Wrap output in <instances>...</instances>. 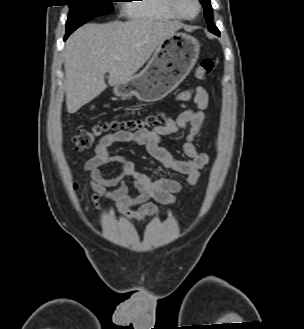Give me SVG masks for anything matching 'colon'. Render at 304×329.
I'll use <instances>...</instances> for the list:
<instances>
[{
  "label": "colon",
  "mask_w": 304,
  "mask_h": 329,
  "mask_svg": "<svg viewBox=\"0 0 304 329\" xmlns=\"http://www.w3.org/2000/svg\"><path fill=\"white\" fill-rule=\"evenodd\" d=\"M214 61L210 58L202 59L195 70L197 79H204L211 74L214 69ZM167 121V115L164 113L149 114L144 117L135 118L126 122H100L93 125L90 129L79 130L73 136V143L78 150H85L99 138L118 131L129 132H150L151 130L164 125Z\"/></svg>",
  "instance_id": "colon-1"
}]
</instances>
